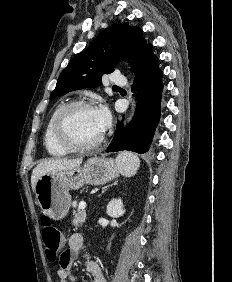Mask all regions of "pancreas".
<instances>
[{
    "instance_id": "pancreas-1",
    "label": "pancreas",
    "mask_w": 232,
    "mask_h": 282,
    "mask_svg": "<svg viewBox=\"0 0 232 282\" xmlns=\"http://www.w3.org/2000/svg\"><path fill=\"white\" fill-rule=\"evenodd\" d=\"M86 220V213L84 210L78 209L77 213H74L73 225L81 226Z\"/></svg>"
}]
</instances>
